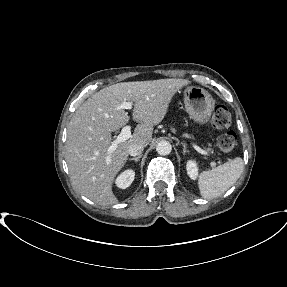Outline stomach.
I'll list each match as a JSON object with an SVG mask.
<instances>
[{"mask_svg":"<svg viewBox=\"0 0 287 287\" xmlns=\"http://www.w3.org/2000/svg\"><path fill=\"white\" fill-rule=\"evenodd\" d=\"M183 93L185 107L190 118L199 124L207 123L215 107L211 94L197 86H189Z\"/></svg>","mask_w":287,"mask_h":287,"instance_id":"0dacf381","label":"stomach"}]
</instances>
